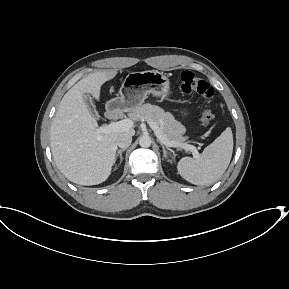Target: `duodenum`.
I'll return each instance as SVG.
<instances>
[{
  "label": "duodenum",
  "mask_w": 289,
  "mask_h": 289,
  "mask_svg": "<svg viewBox=\"0 0 289 289\" xmlns=\"http://www.w3.org/2000/svg\"><path fill=\"white\" fill-rule=\"evenodd\" d=\"M106 114L107 117L111 120H117L121 117V111L116 107L108 108Z\"/></svg>",
  "instance_id": "1"
}]
</instances>
